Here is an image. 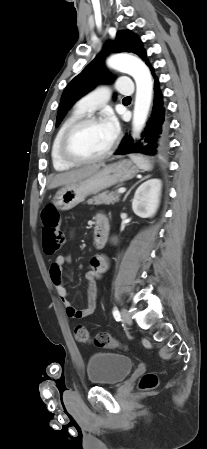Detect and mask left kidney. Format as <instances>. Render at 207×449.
Wrapping results in <instances>:
<instances>
[{
	"instance_id": "obj_1",
	"label": "left kidney",
	"mask_w": 207,
	"mask_h": 449,
	"mask_svg": "<svg viewBox=\"0 0 207 449\" xmlns=\"http://www.w3.org/2000/svg\"><path fill=\"white\" fill-rule=\"evenodd\" d=\"M161 187L159 179H150L137 188L132 200V209L137 216L151 218L155 215L160 203Z\"/></svg>"
}]
</instances>
